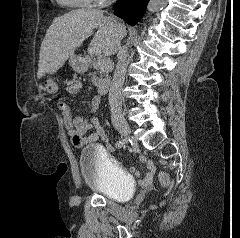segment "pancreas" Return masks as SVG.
<instances>
[{"mask_svg": "<svg viewBox=\"0 0 240 238\" xmlns=\"http://www.w3.org/2000/svg\"><path fill=\"white\" fill-rule=\"evenodd\" d=\"M90 63L91 67L97 70V72L91 74V81L96 87H99L103 83L104 77L109 73V68L103 69L100 61L96 59L90 60Z\"/></svg>", "mask_w": 240, "mask_h": 238, "instance_id": "obj_1", "label": "pancreas"}]
</instances>
